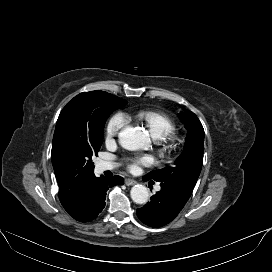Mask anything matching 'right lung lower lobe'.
Returning <instances> with one entry per match:
<instances>
[{
	"mask_svg": "<svg viewBox=\"0 0 272 272\" xmlns=\"http://www.w3.org/2000/svg\"><path fill=\"white\" fill-rule=\"evenodd\" d=\"M123 183L124 180L120 176L108 178L93 175L76 206L67 212L77 221H92L97 218L105 206L107 190L110 187L122 185Z\"/></svg>",
	"mask_w": 272,
	"mask_h": 272,
	"instance_id": "98d812e1",
	"label": "right lung lower lobe"
}]
</instances>
